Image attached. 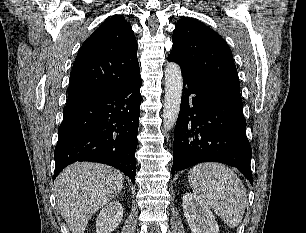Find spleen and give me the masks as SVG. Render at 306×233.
<instances>
[{"label": "spleen", "mask_w": 306, "mask_h": 233, "mask_svg": "<svg viewBox=\"0 0 306 233\" xmlns=\"http://www.w3.org/2000/svg\"><path fill=\"white\" fill-rule=\"evenodd\" d=\"M188 179L196 197L227 226L235 228L240 225L247 194L243 182L230 168L213 162L197 164L190 169Z\"/></svg>", "instance_id": "obj_1"}]
</instances>
